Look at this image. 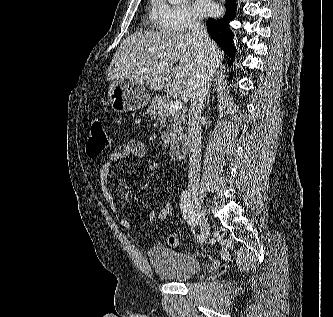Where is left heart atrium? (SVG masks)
Masks as SVG:
<instances>
[{"label": "left heart atrium", "instance_id": "39dd6f15", "mask_svg": "<svg viewBox=\"0 0 333 317\" xmlns=\"http://www.w3.org/2000/svg\"><path fill=\"white\" fill-rule=\"evenodd\" d=\"M215 10V4L211 0H196L195 2V11L199 16L212 15Z\"/></svg>", "mask_w": 333, "mask_h": 317}]
</instances>
